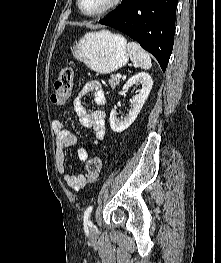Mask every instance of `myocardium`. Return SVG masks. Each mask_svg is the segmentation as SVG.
<instances>
[{
  "label": "myocardium",
  "mask_w": 221,
  "mask_h": 263,
  "mask_svg": "<svg viewBox=\"0 0 221 263\" xmlns=\"http://www.w3.org/2000/svg\"><path fill=\"white\" fill-rule=\"evenodd\" d=\"M121 2L122 0H110L109 3L101 10L96 11V12H87L83 9L82 0H77L78 8L81 11V13L84 14L85 16L93 17V18L100 17V16H103L109 13L110 11L117 8Z\"/></svg>",
  "instance_id": "1"
}]
</instances>
